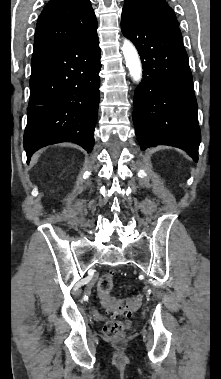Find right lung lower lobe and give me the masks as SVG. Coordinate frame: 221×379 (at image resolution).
<instances>
[{
  "mask_svg": "<svg viewBox=\"0 0 221 379\" xmlns=\"http://www.w3.org/2000/svg\"><path fill=\"white\" fill-rule=\"evenodd\" d=\"M97 26L76 42L33 57L24 149L74 142L88 153L100 99L101 50Z\"/></svg>",
  "mask_w": 221,
  "mask_h": 379,
  "instance_id": "obj_1",
  "label": "right lung lower lobe"
}]
</instances>
